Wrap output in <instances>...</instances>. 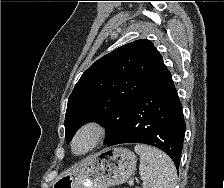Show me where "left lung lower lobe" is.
<instances>
[{
    "label": "left lung lower lobe",
    "mask_w": 224,
    "mask_h": 188,
    "mask_svg": "<svg viewBox=\"0 0 224 188\" xmlns=\"http://www.w3.org/2000/svg\"><path fill=\"white\" fill-rule=\"evenodd\" d=\"M185 128L182 105L169 72L141 93L106 145H152L167 153L178 169Z\"/></svg>",
    "instance_id": "1"
}]
</instances>
